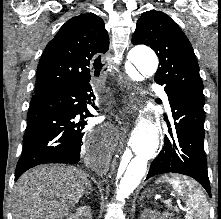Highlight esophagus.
<instances>
[{"mask_svg": "<svg viewBox=\"0 0 221 219\" xmlns=\"http://www.w3.org/2000/svg\"><path fill=\"white\" fill-rule=\"evenodd\" d=\"M122 84L126 90L123 107V111L126 112L129 110L130 105L135 101V89L130 79L125 75L122 76Z\"/></svg>", "mask_w": 221, "mask_h": 219, "instance_id": "34e87169", "label": "esophagus"}]
</instances>
